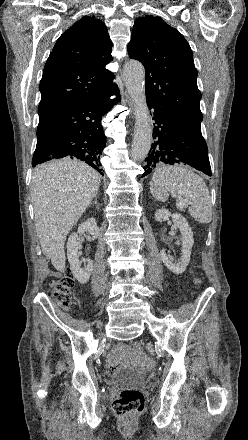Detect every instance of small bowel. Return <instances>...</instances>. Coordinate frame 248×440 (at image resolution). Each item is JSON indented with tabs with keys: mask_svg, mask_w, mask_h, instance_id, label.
<instances>
[{
	"mask_svg": "<svg viewBox=\"0 0 248 440\" xmlns=\"http://www.w3.org/2000/svg\"><path fill=\"white\" fill-rule=\"evenodd\" d=\"M128 340H123V342L119 345H116L112 348L108 355V363L110 366H115L123 356L124 352L126 351L125 346L128 345ZM125 345V346H124Z\"/></svg>",
	"mask_w": 248,
	"mask_h": 440,
	"instance_id": "small-bowel-1",
	"label": "small bowel"
}]
</instances>
